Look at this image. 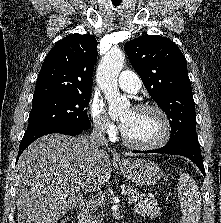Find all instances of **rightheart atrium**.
Wrapping results in <instances>:
<instances>
[{
	"mask_svg": "<svg viewBox=\"0 0 221 223\" xmlns=\"http://www.w3.org/2000/svg\"><path fill=\"white\" fill-rule=\"evenodd\" d=\"M87 113L94 130L98 134L112 137L116 133V127L107 118L101 101L91 98L88 103Z\"/></svg>",
	"mask_w": 221,
	"mask_h": 223,
	"instance_id": "1",
	"label": "right heart atrium"
}]
</instances>
